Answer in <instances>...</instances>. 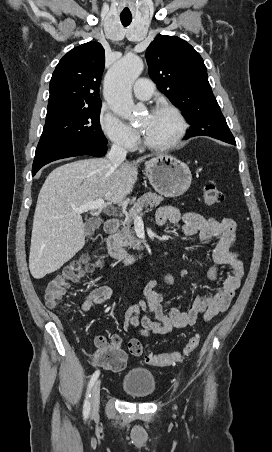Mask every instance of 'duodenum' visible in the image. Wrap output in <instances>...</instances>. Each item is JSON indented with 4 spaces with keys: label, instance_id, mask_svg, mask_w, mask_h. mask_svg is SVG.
<instances>
[{
    "label": "duodenum",
    "instance_id": "410a0bca",
    "mask_svg": "<svg viewBox=\"0 0 272 452\" xmlns=\"http://www.w3.org/2000/svg\"><path fill=\"white\" fill-rule=\"evenodd\" d=\"M118 228L119 222L116 219H109L105 222V230L108 235V252L111 257L125 264H130L137 259L147 257L148 253L145 249H140L136 252H128L122 248L117 239Z\"/></svg>",
    "mask_w": 272,
    "mask_h": 452
}]
</instances>
